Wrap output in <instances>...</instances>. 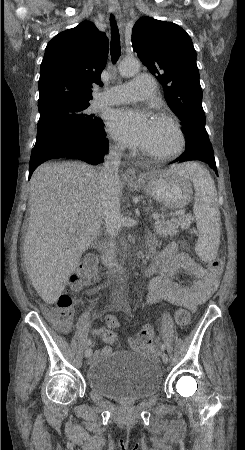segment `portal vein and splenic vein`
Masks as SVG:
<instances>
[{"mask_svg": "<svg viewBox=\"0 0 245 450\" xmlns=\"http://www.w3.org/2000/svg\"><path fill=\"white\" fill-rule=\"evenodd\" d=\"M183 213H184V211H180L179 212V214H183ZM152 217H153L154 220H158L160 216L157 213H153ZM68 232L71 233V234H75L76 233V229L75 228H69Z\"/></svg>", "mask_w": 245, "mask_h": 450, "instance_id": "portal-vein-and-splenic-vein-1", "label": "portal vein and splenic vein"}]
</instances>
